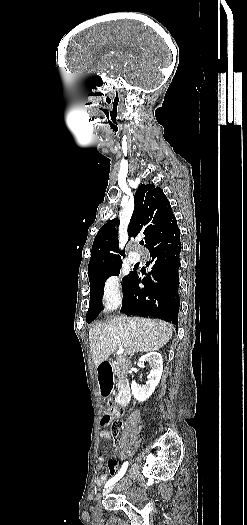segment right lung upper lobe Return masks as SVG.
Returning a JSON list of instances; mask_svg holds the SVG:
<instances>
[{
	"label": "right lung upper lobe",
	"mask_w": 247,
	"mask_h": 525,
	"mask_svg": "<svg viewBox=\"0 0 247 525\" xmlns=\"http://www.w3.org/2000/svg\"><path fill=\"white\" fill-rule=\"evenodd\" d=\"M134 212L128 225L129 236L136 237L139 233L145 235V246L154 238L166 233L176 224L167 197L159 187L143 184L134 196ZM118 219L107 222L97 233L88 265V274L110 271L121 267V257L118 247Z\"/></svg>",
	"instance_id": "obj_1"
}]
</instances>
